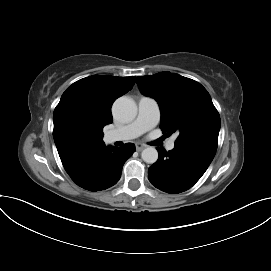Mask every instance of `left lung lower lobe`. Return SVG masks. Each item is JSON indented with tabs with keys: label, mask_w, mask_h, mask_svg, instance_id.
<instances>
[{
	"label": "left lung lower lobe",
	"mask_w": 271,
	"mask_h": 271,
	"mask_svg": "<svg viewBox=\"0 0 271 271\" xmlns=\"http://www.w3.org/2000/svg\"><path fill=\"white\" fill-rule=\"evenodd\" d=\"M157 150L159 158L149 168L148 178L156 188L171 194L191 188L205 173L216 153L189 143H175L168 152Z\"/></svg>",
	"instance_id": "1"
}]
</instances>
